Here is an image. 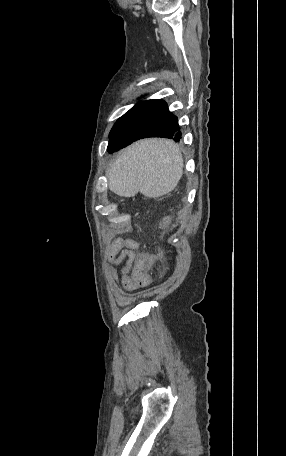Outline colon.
Wrapping results in <instances>:
<instances>
[{
  "label": "colon",
  "mask_w": 286,
  "mask_h": 456,
  "mask_svg": "<svg viewBox=\"0 0 286 456\" xmlns=\"http://www.w3.org/2000/svg\"><path fill=\"white\" fill-rule=\"evenodd\" d=\"M159 261L157 253H141L135 256L131 267V277L139 286L147 285L151 282L152 277L150 270Z\"/></svg>",
  "instance_id": "5ec220e1"
}]
</instances>
